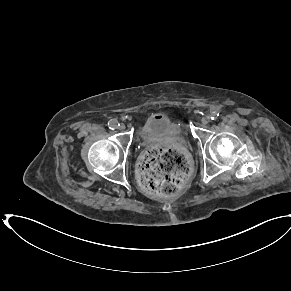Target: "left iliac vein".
Wrapping results in <instances>:
<instances>
[{
	"instance_id": "1",
	"label": "left iliac vein",
	"mask_w": 291,
	"mask_h": 291,
	"mask_svg": "<svg viewBox=\"0 0 291 291\" xmlns=\"http://www.w3.org/2000/svg\"><path fill=\"white\" fill-rule=\"evenodd\" d=\"M209 122H210V117H209V116H204V117L201 119V123H202L203 125H207Z\"/></svg>"
}]
</instances>
